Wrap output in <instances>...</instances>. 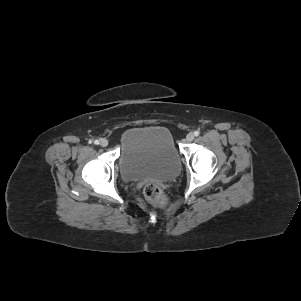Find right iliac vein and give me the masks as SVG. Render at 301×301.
<instances>
[{"instance_id": "right-iliac-vein-1", "label": "right iliac vein", "mask_w": 301, "mask_h": 301, "mask_svg": "<svg viewBox=\"0 0 301 301\" xmlns=\"http://www.w3.org/2000/svg\"><path fill=\"white\" fill-rule=\"evenodd\" d=\"M99 144H100L101 147H106L108 145V141L105 138H101L99 140Z\"/></svg>"}]
</instances>
